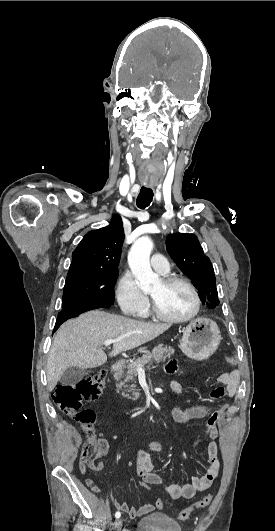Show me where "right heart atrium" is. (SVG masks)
Returning a JSON list of instances; mask_svg holds the SVG:
<instances>
[{"label": "right heart atrium", "mask_w": 275, "mask_h": 531, "mask_svg": "<svg viewBox=\"0 0 275 531\" xmlns=\"http://www.w3.org/2000/svg\"><path fill=\"white\" fill-rule=\"evenodd\" d=\"M116 293L124 314L131 317H142L147 314L150 306L149 298L139 289L130 272H125L120 277Z\"/></svg>", "instance_id": "1"}]
</instances>
